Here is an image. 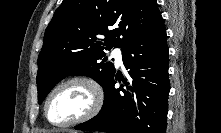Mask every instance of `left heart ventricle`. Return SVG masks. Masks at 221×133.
Masks as SVG:
<instances>
[{
    "mask_svg": "<svg viewBox=\"0 0 221 133\" xmlns=\"http://www.w3.org/2000/svg\"><path fill=\"white\" fill-rule=\"evenodd\" d=\"M91 104L89 90L81 84H71L58 90L48 105V116L55 123L79 117Z\"/></svg>",
    "mask_w": 221,
    "mask_h": 133,
    "instance_id": "b2bd125f",
    "label": "left heart ventricle"
}]
</instances>
